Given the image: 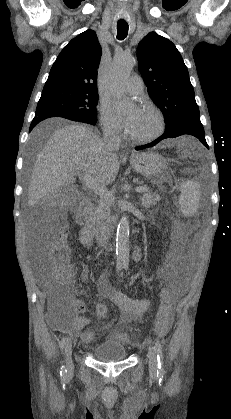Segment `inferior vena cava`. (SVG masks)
I'll return each mask as SVG.
<instances>
[{"label": "inferior vena cava", "mask_w": 231, "mask_h": 419, "mask_svg": "<svg viewBox=\"0 0 231 419\" xmlns=\"http://www.w3.org/2000/svg\"><path fill=\"white\" fill-rule=\"evenodd\" d=\"M104 142L108 150L118 151L120 146V137L118 132L111 126H107L103 132ZM99 243L105 248L106 251H109L108 246V234L106 228H103L99 236Z\"/></svg>", "instance_id": "602c4592"}]
</instances>
